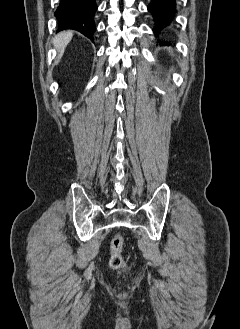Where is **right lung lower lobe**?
Returning <instances> with one entry per match:
<instances>
[{"mask_svg": "<svg viewBox=\"0 0 240 329\" xmlns=\"http://www.w3.org/2000/svg\"><path fill=\"white\" fill-rule=\"evenodd\" d=\"M97 10L95 0H61L54 15L58 20V31L77 30L93 41L96 30L94 14Z\"/></svg>", "mask_w": 240, "mask_h": 329, "instance_id": "1", "label": "right lung lower lobe"}]
</instances>
